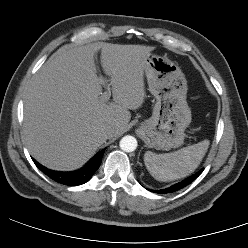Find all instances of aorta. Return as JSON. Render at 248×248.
<instances>
[{"instance_id": "obj_1", "label": "aorta", "mask_w": 248, "mask_h": 248, "mask_svg": "<svg viewBox=\"0 0 248 248\" xmlns=\"http://www.w3.org/2000/svg\"><path fill=\"white\" fill-rule=\"evenodd\" d=\"M120 148L125 152H133L137 148L135 137L127 135L120 140Z\"/></svg>"}]
</instances>
